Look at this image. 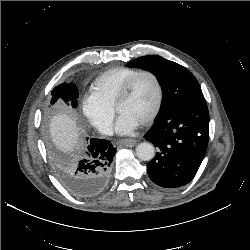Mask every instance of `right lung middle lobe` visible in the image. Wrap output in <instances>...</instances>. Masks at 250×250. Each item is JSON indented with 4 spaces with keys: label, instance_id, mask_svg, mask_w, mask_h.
I'll return each mask as SVG.
<instances>
[{
    "label": "right lung middle lobe",
    "instance_id": "dd1d6c3e",
    "mask_svg": "<svg viewBox=\"0 0 250 250\" xmlns=\"http://www.w3.org/2000/svg\"><path fill=\"white\" fill-rule=\"evenodd\" d=\"M51 94V104H54L59 98H61L65 102L71 101L73 107L77 106L78 90L72 83H62L61 85L56 86Z\"/></svg>",
    "mask_w": 250,
    "mask_h": 250
}]
</instances>
